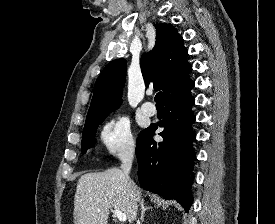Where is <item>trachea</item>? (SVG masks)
<instances>
[{
    "mask_svg": "<svg viewBox=\"0 0 275 224\" xmlns=\"http://www.w3.org/2000/svg\"><path fill=\"white\" fill-rule=\"evenodd\" d=\"M155 102L157 106H164V96L162 92H158L155 96Z\"/></svg>",
    "mask_w": 275,
    "mask_h": 224,
    "instance_id": "3493384b",
    "label": "trachea"
}]
</instances>
